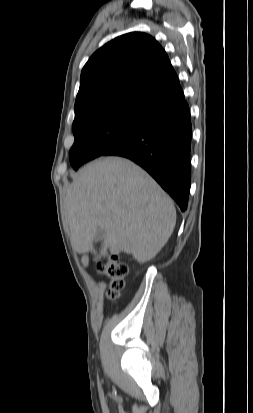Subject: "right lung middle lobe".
Returning <instances> with one entry per match:
<instances>
[{
  "mask_svg": "<svg viewBox=\"0 0 253 413\" xmlns=\"http://www.w3.org/2000/svg\"><path fill=\"white\" fill-rule=\"evenodd\" d=\"M150 115L135 108L111 107L74 119V144L70 150L72 167L77 170L85 162L103 155L139 131Z\"/></svg>",
  "mask_w": 253,
  "mask_h": 413,
  "instance_id": "obj_1",
  "label": "right lung middle lobe"
}]
</instances>
